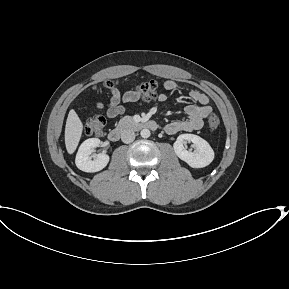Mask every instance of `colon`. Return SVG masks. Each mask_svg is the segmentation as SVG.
I'll return each mask as SVG.
<instances>
[{
    "label": "colon",
    "mask_w": 289,
    "mask_h": 289,
    "mask_svg": "<svg viewBox=\"0 0 289 289\" xmlns=\"http://www.w3.org/2000/svg\"><path fill=\"white\" fill-rule=\"evenodd\" d=\"M116 82L107 81L104 84V88L112 92L115 89ZM158 90V84L156 81H149L138 85L137 92L144 101H150L155 98ZM220 126V119L216 114H211L207 119V127L210 131H215ZM105 119L102 116H95L90 118L85 124V133L88 136L100 137L104 134Z\"/></svg>",
    "instance_id": "obj_1"
}]
</instances>
